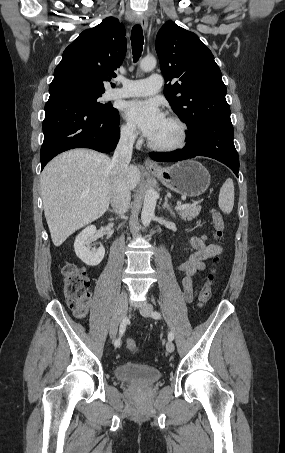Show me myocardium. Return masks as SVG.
Wrapping results in <instances>:
<instances>
[{"mask_svg":"<svg viewBox=\"0 0 285 453\" xmlns=\"http://www.w3.org/2000/svg\"><path fill=\"white\" fill-rule=\"evenodd\" d=\"M173 123H175L179 129V138L176 142L172 144H157L154 143L151 139L148 141V145L151 149L160 151V152H174L184 148L189 139V130L187 124L179 116L173 113H169L166 117Z\"/></svg>","mask_w":285,"mask_h":453,"instance_id":"f54148a6","label":"myocardium"}]
</instances>
